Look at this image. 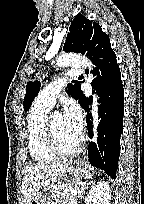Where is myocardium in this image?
<instances>
[{
  "label": "myocardium",
  "mask_w": 144,
  "mask_h": 204,
  "mask_svg": "<svg viewBox=\"0 0 144 204\" xmlns=\"http://www.w3.org/2000/svg\"><path fill=\"white\" fill-rule=\"evenodd\" d=\"M52 118L48 117L46 121L45 131H46V139L48 146L53 154L60 158H68L77 155L81 150V139L78 138L75 146L71 150H64L58 144L54 129Z\"/></svg>",
  "instance_id": "obj_1"
}]
</instances>
